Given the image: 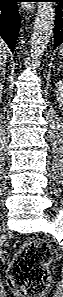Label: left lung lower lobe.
Wrapping results in <instances>:
<instances>
[{"instance_id": "left-lung-lower-lobe-1", "label": "left lung lower lobe", "mask_w": 63, "mask_h": 297, "mask_svg": "<svg viewBox=\"0 0 63 297\" xmlns=\"http://www.w3.org/2000/svg\"><path fill=\"white\" fill-rule=\"evenodd\" d=\"M59 2L55 16L54 48L63 43V0H51Z\"/></svg>"}]
</instances>
